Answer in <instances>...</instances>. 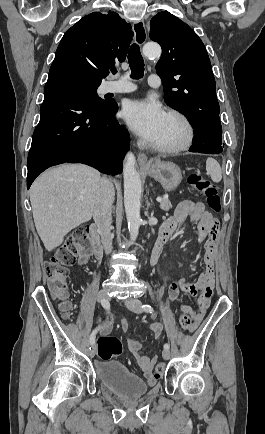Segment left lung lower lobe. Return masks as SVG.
I'll return each instance as SVG.
<instances>
[{
    "instance_id": "left-lung-lower-lobe-1",
    "label": "left lung lower lobe",
    "mask_w": 265,
    "mask_h": 434,
    "mask_svg": "<svg viewBox=\"0 0 265 434\" xmlns=\"http://www.w3.org/2000/svg\"><path fill=\"white\" fill-rule=\"evenodd\" d=\"M190 151L205 154H219L223 151L222 140H218L214 137L194 135L193 145Z\"/></svg>"
}]
</instances>
